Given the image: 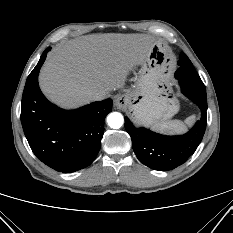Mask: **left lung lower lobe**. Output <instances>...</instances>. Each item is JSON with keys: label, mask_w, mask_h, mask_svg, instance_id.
<instances>
[{"label": "left lung lower lobe", "mask_w": 233, "mask_h": 233, "mask_svg": "<svg viewBox=\"0 0 233 233\" xmlns=\"http://www.w3.org/2000/svg\"><path fill=\"white\" fill-rule=\"evenodd\" d=\"M189 61L182 52L178 61L179 69L175 72L182 93L196 103L202 112L201 120L188 133L181 136H164L143 127L136 128L125 117V129L131 136L133 150L137 158L151 169L168 171L178 167L195 152L203 138L207 123L206 89L186 81V78H191Z\"/></svg>", "instance_id": "1"}]
</instances>
